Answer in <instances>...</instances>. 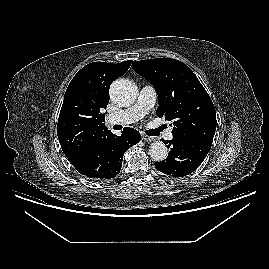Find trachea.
Segmentation results:
<instances>
[{
    "label": "trachea",
    "instance_id": "1",
    "mask_svg": "<svg viewBox=\"0 0 269 269\" xmlns=\"http://www.w3.org/2000/svg\"><path fill=\"white\" fill-rule=\"evenodd\" d=\"M165 128H166V126H165V125H162V126L159 128V132L162 131V130H164ZM159 132H158V133H159ZM148 134L151 135V133H148ZM152 136H155V135H152Z\"/></svg>",
    "mask_w": 269,
    "mask_h": 269
}]
</instances>
